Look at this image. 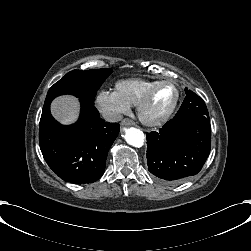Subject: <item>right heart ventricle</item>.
Segmentation results:
<instances>
[{
  "instance_id": "obj_1",
  "label": "right heart ventricle",
  "mask_w": 251,
  "mask_h": 251,
  "mask_svg": "<svg viewBox=\"0 0 251 251\" xmlns=\"http://www.w3.org/2000/svg\"><path fill=\"white\" fill-rule=\"evenodd\" d=\"M158 79L154 77H131L117 80L114 91L130 106H137L147 89Z\"/></svg>"
}]
</instances>
